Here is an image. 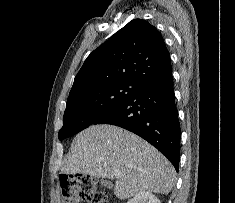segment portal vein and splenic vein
Segmentation results:
<instances>
[{
	"label": "portal vein and splenic vein",
	"instance_id": "portal-vein-and-splenic-vein-1",
	"mask_svg": "<svg viewBox=\"0 0 235 203\" xmlns=\"http://www.w3.org/2000/svg\"><path fill=\"white\" fill-rule=\"evenodd\" d=\"M120 173H119V171H116L115 172V176H118Z\"/></svg>",
	"mask_w": 235,
	"mask_h": 203
}]
</instances>
